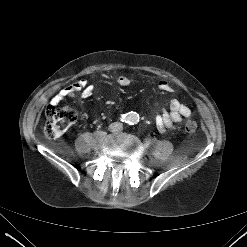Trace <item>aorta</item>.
Wrapping results in <instances>:
<instances>
[{"label":"aorta","instance_id":"1","mask_svg":"<svg viewBox=\"0 0 247 247\" xmlns=\"http://www.w3.org/2000/svg\"><path fill=\"white\" fill-rule=\"evenodd\" d=\"M126 120L129 124H136L139 121V115L136 112H129L126 115Z\"/></svg>","mask_w":247,"mask_h":247}]
</instances>
